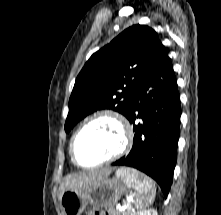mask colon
<instances>
[{"mask_svg": "<svg viewBox=\"0 0 221 215\" xmlns=\"http://www.w3.org/2000/svg\"><path fill=\"white\" fill-rule=\"evenodd\" d=\"M88 215H109L106 212L100 211L98 209H91L88 211Z\"/></svg>", "mask_w": 221, "mask_h": 215, "instance_id": "obj_1", "label": "colon"}]
</instances>
